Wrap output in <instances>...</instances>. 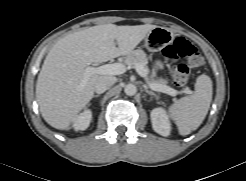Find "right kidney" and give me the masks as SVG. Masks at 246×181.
<instances>
[{
  "mask_svg": "<svg viewBox=\"0 0 246 181\" xmlns=\"http://www.w3.org/2000/svg\"><path fill=\"white\" fill-rule=\"evenodd\" d=\"M91 119L92 112L90 110H84L80 115L74 118L72 127L76 131L85 130L90 125Z\"/></svg>",
  "mask_w": 246,
  "mask_h": 181,
  "instance_id": "ca27d5eb",
  "label": "right kidney"
}]
</instances>
